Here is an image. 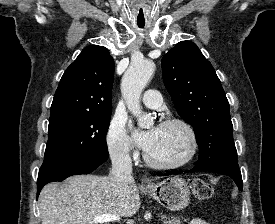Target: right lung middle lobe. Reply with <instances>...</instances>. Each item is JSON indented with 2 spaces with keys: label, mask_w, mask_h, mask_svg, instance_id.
<instances>
[{
  "label": "right lung middle lobe",
  "mask_w": 275,
  "mask_h": 224,
  "mask_svg": "<svg viewBox=\"0 0 275 224\" xmlns=\"http://www.w3.org/2000/svg\"><path fill=\"white\" fill-rule=\"evenodd\" d=\"M111 112L62 113L50 116L44 163L107 151Z\"/></svg>",
  "instance_id": "right-lung-middle-lobe-1"
}]
</instances>
